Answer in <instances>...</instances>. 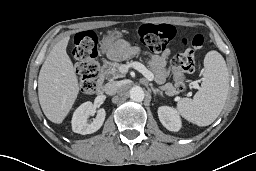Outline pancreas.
I'll list each match as a JSON object with an SVG mask.
<instances>
[{
	"label": "pancreas",
	"mask_w": 256,
	"mask_h": 171,
	"mask_svg": "<svg viewBox=\"0 0 256 171\" xmlns=\"http://www.w3.org/2000/svg\"><path fill=\"white\" fill-rule=\"evenodd\" d=\"M120 67H121L120 63H117V62L110 63L109 67L105 70L106 77L111 79H118V78L124 77L125 75L120 72ZM152 72L154 73L155 79L158 83L162 84L165 82L168 74L165 69L163 68L154 69L152 70ZM160 89L163 90L169 96H173L178 93L172 83H166L165 85L160 86Z\"/></svg>",
	"instance_id": "pancreas-1"
}]
</instances>
